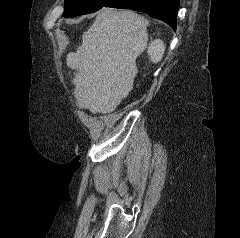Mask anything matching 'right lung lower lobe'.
<instances>
[{"instance_id": "98d812e1", "label": "right lung lower lobe", "mask_w": 240, "mask_h": 238, "mask_svg": "<svg viewBox=\"0 0 240 238\" xmlns=\"http://www.w3.org/2000/svg\"><path fill=\"white\" fill-rule=\"evenodd\" d=\"M107 7L131 9L167 23L176 30L179 0H114Z\"/></svg>"}]
</instances>
